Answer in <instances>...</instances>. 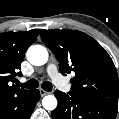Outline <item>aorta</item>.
<instances>
[{
	"instance_id": "obj_1",
	"label": "aorta",
	"mask_w": 119,
	"mask_h": 119,
	"mask_svg": "<svg viewBox=\"0 0 119 119\" xmlns=\"http://www.w3.org/2000/svg\"><path fill=\"white\" fill-rule=\"evenodd\" d=\"M26 56L28 61L35 66L44 65L48 61V51L42 45L29 47ZM42 106L46 110L52 111L57 107V99L53 95H47L42 100Z\"/></svg>"
}]
</instances>
